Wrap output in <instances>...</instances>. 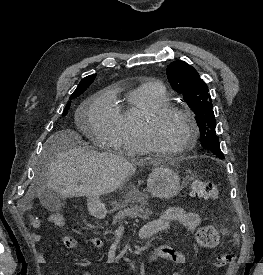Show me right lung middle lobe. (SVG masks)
<instances>
[{
    "mask_svg": "<svg viewBox=\"0 0 263 275\" xmlns=\"http://www.w3.org/2000/svg\"><path fill=\"white\" fill-rule=\"evenodd\" d=\"M85 90H86V88L82 89V90H81L80 92H78L77 94L71 96L70 99H73V98L78 97V96L81 95ZM69 107H70V102H68V104H67V106H66V109L64 110L63 115H66V114H67Z\"/></svg>",
    "mask_w": 263,
    "mask_h": 275,
    "instance_id": "dd1d6c3e",
    "label": "right lung middle lobe"
}]
</instances>
